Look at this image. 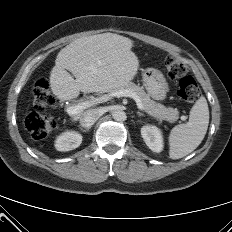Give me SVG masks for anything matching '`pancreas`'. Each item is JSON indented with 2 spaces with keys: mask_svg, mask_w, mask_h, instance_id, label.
<instances>
[{
  "mask_svg": "<svg viewBox=\"0 0 232 232\" xmlns=\"http://www.w3.org/2000/svg\"><path fill=\"white\" fill-rule=\"evenodd\" d=\"M125 89L135 92L141 99L143 110L155 119L159 121L165 120L170 123H174L178 120L179 112L177 111V109H173L171 107L167 108L160 103H156L150 98V96L144 91L142 87L137 86L132 82H129L118 89H114L110 93L112 94L114 92Z\"/></svg>",
  "mask_w": 232,
  "mask_h": 232,
  "instance_id": "obj_1",
  "label": "pancreas"
}]
</instances>
